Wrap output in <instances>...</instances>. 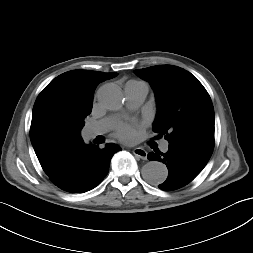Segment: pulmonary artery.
<instances>
[{"label": "pulmonary artery", "mask_w": 253, "mask_h": 253, "mask_svg": "<svg viewBox=\"0 0 253 253\" xmlns=\"http://www.w3.org/2000/svg\"><path fill=\"white\" fill-rule=\"evenodd\" d=\"M124 93L127 107L130 109H135L144 101L148 93V86L143 82H128L125 86ZM114 121V117H108L94 124L88 125L84 129L85 137L87 139H91L105 133L114 123ZM168 146L169 143L167 141H163L161 144L162 151L166 152L168 150Z\"/></svg>", "instance_id": "e3ab8cb5"}]
</instances>
